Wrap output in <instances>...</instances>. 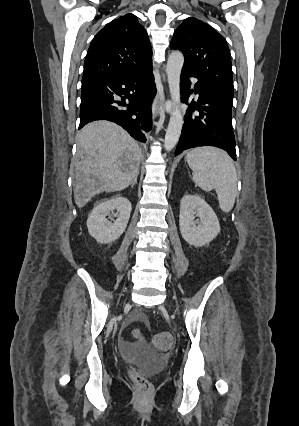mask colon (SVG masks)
I'll use <instances>...</instances> for the list:
<instances>
[{
  "mask_svg": "<svg viewBox=\"0 0 299 426\" xmlns=\"http://www.w3.org/2000/svg\"><path fill=\"white\" fill-rule=\"evenodd\" d=\"M134 335L136 337H140V332L138 330H135ZM173 342V336L169 332H161L155 335L153 338L154 345L162 350L171 348ZM130 378L134 383L137 396L142 400L147 399L153 391L152 384L150 383L148 378L138 370H131Z\"/></svg>",
  "mask_w": 299,
  "mask_h": 426,
  "instance_id": "5ec220e1",
  "label": "colon"
}]
</instances>
